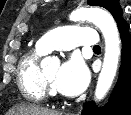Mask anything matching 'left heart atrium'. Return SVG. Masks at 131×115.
<instances>
[{
	"label": "left heart atrium",
	"instance_id": "left-heart-atrium-1",
	"mask_svg": "<svg viewBox=\"0 0 131 115\" xmlns=\"http://www.w3.org/2000/svg\"><path fill=\"white\" fill-rule=\"evenodd\" d=\"M88 70L78 58H71L59 69L54 86L66 96H75L81 93L88 84Z\"/></svg>",
	"mask_w": 131,
	"mask_h": 115
}]
</instances>
